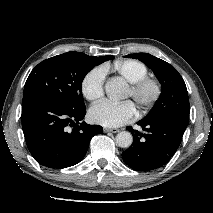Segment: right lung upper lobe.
<instances>
[{"mask_svg":"<svg viewBox=\"0 0 213 213\" xmlns=\"http://www.w3.org/2000/svg\"><path fill=\"white\" fill-rule=\"evenodd\" d=\"M88 57L97 62V64L113 58V56H101V57L88 56Z\"/></svg>","mask_w":213,"mask_h":213,"instance_id":"cb5924a9","label":"right lung upper lobe"}]
</instances>
